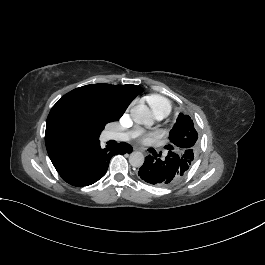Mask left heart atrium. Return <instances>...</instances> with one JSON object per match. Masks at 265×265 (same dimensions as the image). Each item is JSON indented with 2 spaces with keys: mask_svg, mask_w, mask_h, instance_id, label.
Instances as JSON below:
<instances>
[{
  "mask_svg": "<svg viewBox=\"0 0 265 265\" xmlns=\"http://www.w3.org/2000/svg\"><path fill=\"white\" fill-rule=\"evenodd\" d=\"M145 137H146V134L145 133H142V136L139 137V138L144 139Z\"/></svg>",
  "mask_w": 265,
  "mask_h": 265,
  "instance_id": "obj_1",
  "label": "left heart atrium"
}]
</instances>
